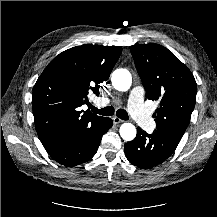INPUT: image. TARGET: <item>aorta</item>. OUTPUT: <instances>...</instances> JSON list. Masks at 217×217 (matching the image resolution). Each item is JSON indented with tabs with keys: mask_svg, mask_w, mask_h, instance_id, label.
<instances>
[{
	"mask_svg": "<svg viewBox=\"0 0 217 217\" xmlns=\"http://www.w3.org/2000/svg\"><path fill=\"white\" fill-rule=\"evenodd\" d=\"M111 81L116 90L124 92L131 87L132 76L127 69H117L112 73ZM119 132L125 141H132L137 133L135 126L131 123H123Z\"/></svg>",
	"mask_w": 217,
	"mask_h": 217,
	"instance_id": "aorta-1",
	"label": "aorta"
}]
</instances>
